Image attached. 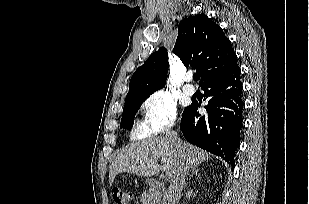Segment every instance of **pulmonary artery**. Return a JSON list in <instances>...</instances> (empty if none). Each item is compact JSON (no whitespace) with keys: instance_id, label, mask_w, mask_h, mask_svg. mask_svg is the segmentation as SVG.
I'll use <instances>...</instances> for the list:
<instances>
[{"instance_id":"obj_1","label":"pulmonary artery","mask_w":309,"mask_h":204,"mask_svg":"<svg viewBox=\"0 0 309 204\" xmlns=\"http://www.w3.org/2000/svg\"><path fill=\"white\" fill-rule=\"evenodd\" d=\"M183 92L187 95H193L195 93V87L189 83V79H186V83L183 86Z\"/></svg>"}]
</instances>
